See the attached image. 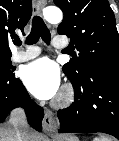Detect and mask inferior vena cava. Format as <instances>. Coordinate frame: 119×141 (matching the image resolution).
<instances>
[{
    "label": "inferior vena cava",
    "mask_w": 119,
    "mask_h": 141,
    "mask_svg": "<svg viewBox=\"0 0 119 141\" xmlns=\"http://www.w3.org/2000/svg\"><path fill=\"white\" fill-rule=\"evenodd\" d=\"M10 124L14 127L15 141H27L29 130L25 112L22 108H16L10 113Z\"/></svg>",
    "instance_id": "inferior-vena-cava-1"
}]
</instances>
